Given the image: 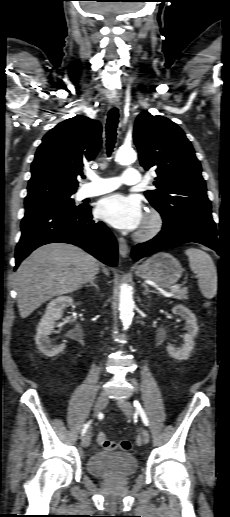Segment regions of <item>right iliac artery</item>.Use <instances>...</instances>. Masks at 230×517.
<instances>
[{
  "instance_id": "right-iliac-artery-1",
  "label": "right iliac artery",
  "mask_w": 230,
  "mask_h": 517,
  "mask_svg": "<svg viewBox=\"0 0 230 517\" xmlns=\"http://www.w3.org/2000/svg\"><path fill=\"white\" fill-rule=\"evenodd\" d=\"M89 425H90V421L84 425V428L82 429V436L86 433L87 428L89 427Z\"/></svg>"
}]
</instances>
